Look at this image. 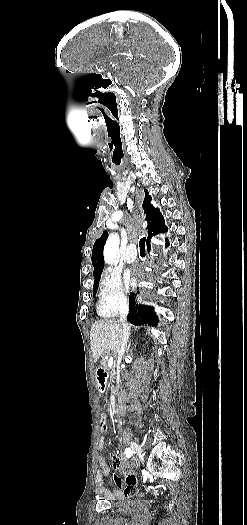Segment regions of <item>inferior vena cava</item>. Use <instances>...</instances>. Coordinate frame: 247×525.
Segmentation results:
<instances>
[{"mask_svg":"<svg viewBox=\"0 0 247 525\" xmlns=\"http://www.w3.org/2000/svg\"><path fill=\"white\" fill-rule=\"evenodd\" d=\"M129 315V305L128 303H125V301H120L119 305V321L122 325V335L119 343V351H118V361L117 365L119 367L123 355L126 351V347L128 345L129 337H130V327L127 323V317ZM120 369V367H119ZM119 373V371H118ZM117 383H119V377L117 379Z\"/></svg>","mask_w":247,"mask_h":525,"instance_id":"obj_1","label":"inferior vena cava"}]
</instances>
